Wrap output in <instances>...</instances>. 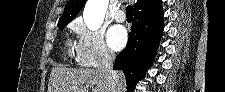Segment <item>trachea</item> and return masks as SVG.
Wrapping results in <instances>:
<instances>
[{"label": "trachea", "mask_w": 225, "mask_h": 92, "mask_svg": "<svg viewBox=\"0 0 225 92\" xmlns=\"http://www.w3.org/2000/svg\"><path fill=\"white\" fill-rule=\"evenodd\" d=\"M133 6L132 5H128L126 7V15H127V18H133Z\"/></svg>", "instance_id": "3493384b"}]
</instances>
